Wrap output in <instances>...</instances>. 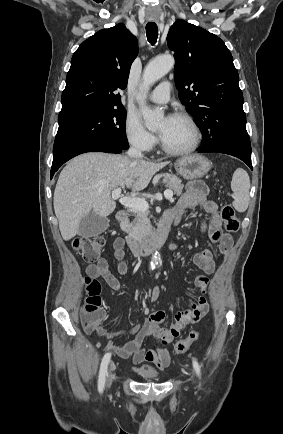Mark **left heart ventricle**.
<instances>
[{"instance_id":"left-heart-ventricle-1","label":"left heart ventricle","mask_w":283,"mask_h":434,"mask_svg":"<svg viewBox=\"0 0 283 434\" xmlns=\"http://www.w3.org/2000/svg\"><path fill=\"white\" fill-rule=\"evenodd\" d=\"M165 119L159 124V129L164 125ZM192 134L188 124L180 119L172 117L169 127L163 136V141L171 148H184L191 142Z\"/></svg>"}]
</instances>
